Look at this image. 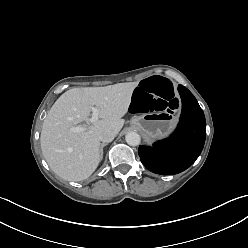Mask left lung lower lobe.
Masks as SVG:
<instances>
[{
    "instance_id": "left-lung-lower-lobe-1",
    "label": "left lung lower lobe",
    "mask_w": 248,
    "mask_h": 248,
    "mask_svg": "<svg viewBox=\"0 0 248 248\" xmlns=\"http://www.w3.org/2000/svg\"><path fill=\"white\" fill-rule=\"evenodd\" d=\"M178 91L182 100V112L175 132L157 141L153 147L139 146V156L150 171L173 175L190 167L200 155L206 137L205 116L196 98L184 86Z\"/></svg>"
}]
</instances>
